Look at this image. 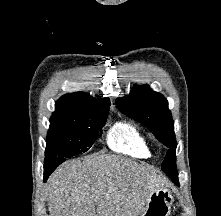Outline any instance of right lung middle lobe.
I'll list each match as a JSON object with an SVG mask.
<instances>
[{
	"mask_svg": "<svg viewBox=\"0 0 221 216\" xmlns=\"http://www.w3.org/2000/svg\"><path fill=\"white\" fill-rule=\"evenodd\" d=\"M107 114L84 116L70 123L50 126L44 168L58 166L65 158L89 150L99 130L105 125Z\"/></svg>",
	"mask_w": 221,
	"mask_h": 216,
	"instance_id": "1",
	"label": "right lung middle lobe"
}]
</instances>
